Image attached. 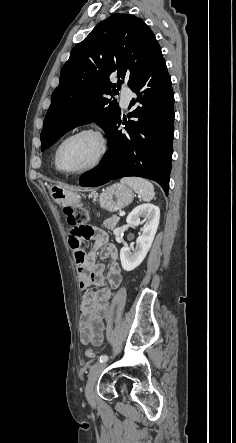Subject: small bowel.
I'll list each match as a JSON object with an SVG mask.
<instances>
[{"mask_svg": "<svg viewBox=\"0 0 236 443\" xmlns=\"http://www.w3.org/2000/svg\"><path fill=\"white\" fill-rule=\"evenodd\" d=\"M92 231L93 246L88 252L82 248L83 238L74 233L69 236V245L74 251L81 288L86 289L92 283L102 285L104 282L102 275L104 266L96 263V251L99 248H101L100 258L111 260L106 275L110 288L102 287L97 291L86 292L82 298L80 339L83 344H99L102 341L103 320L109 308L112 290L117 289L122 283V269L117 262L116 246L108 243V236L102 229L93 227Z\"/></svg>", "mask_w": 236, "mask_h": 443, "instance_id": "small-bowel-1", "label": "small bowel"}]
</instances>
